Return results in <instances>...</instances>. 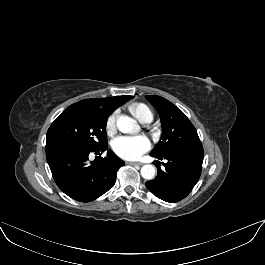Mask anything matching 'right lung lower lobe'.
<instances>
[{
    "instance_id": "obj_1",
    "label": "right lung lower lobe",
    "mask_w": 265,
    "mask_h": 265,
    "mask_svg": "<svg viewBox=\"0 0 265 265\" xmlns=\"http://www.w3.org/2000/svg\"><path fill=\"white\" fill-rule=\"evenodd\" d=\"M108 145L98 149L76 146L46 147V157L58 187L69 197L90 202L107 192L116 181L117 171L124 162L108 150L106 157H96L89 162L91 152L107 150Z\"/></svg>"
}]
</instances>
